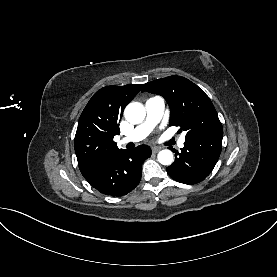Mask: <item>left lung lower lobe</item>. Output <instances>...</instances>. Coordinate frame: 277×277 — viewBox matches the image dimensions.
<instances>
[{"label":"left lung lower lobe","instance_id":"left-lung-lower-lobe-1","mask_svg":"<svg viewBox=\"0 0 277 277\" xmlns=\"http://www.w3.org/2000/svg\"><path fill=\"white\" fill-rule=\"evenodd\" d=\"M223 132L185 140L175 162L166 168L169 176L184 184H196L213 170L222 150Z\"/></svg>","mask_w":277,"mask_h":277}]
</instances>
